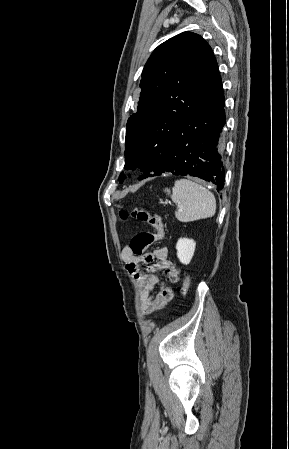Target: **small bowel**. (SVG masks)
I'll list each match as a JSON object with an SVG mask.
<instances>
[{"label":"small bowel","mask_w":289,"mask_h":449,"mask_svg":"<svg viewBox=\"0 0 289 449\" xmlns=\"http://www.w3.org/2000/svg\"><path fill=\"white\" fill-rule=\"evenodd\" d=\"M121 257L126 263L127 270L139 284L140 302L144 314L148 315L163 308L174 298V290L170 286L160 284L159 278L154 273L164 272L171 284L177 283L180 279V271L173 262L167 259L166 248L156 249L147 256H137L132 252L130 245H126L121 252ZM143 267L147 270L144 271ZM158 285L160 288L157 291Z\"/></svg>","instance_id":"c3829d8e"}]
</instances>
